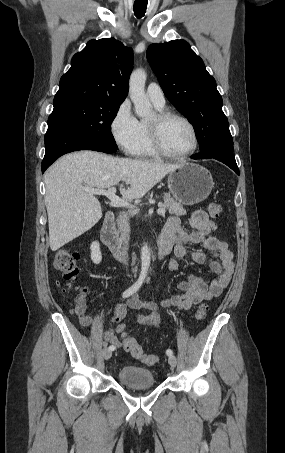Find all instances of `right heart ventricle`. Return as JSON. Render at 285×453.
<instances>
[{
    "label": "right heart ventricle",
    "instance_id": "e07e8e85",
    "mask_svg": "<svg viewBox=\"0 0 285 453\" xmlns=\"http://www.w3.org/2000/svg\"><path fill=\"white\" fill-rule=\"evenodd\" d=\"M155 107L159 111L163 110V107H158L156 105H155ZM134 155H136L138 157H144V158L158 156L157 152L152 147V144L150 141L147 121H144V120L139 121V136H138V141H137L136 150H135Z\"/></svg>",
    "mask_w": 285,
    "mask_h": 453
}]
</instances>
